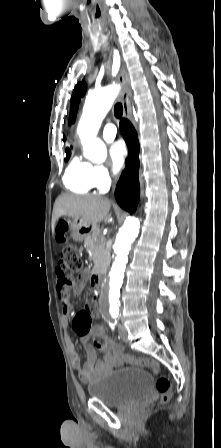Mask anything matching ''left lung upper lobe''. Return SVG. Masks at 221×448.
<instances>
[{"label": "left lung upper lobe", "instance_id": "obj_1", "mask_svg": "<svg viewBox=\"0 0 221 448\" xmlns=\"http://www.w3.org/2000/svg\"><path fill=\"white\" fill-rule=\"evenodd\" d=\"M86 84L83 80L81 83H78L73 91V95L71 97V107H70V121L73 123L76 119V114L78 110V105L81 97L85 94Z\"/></svg>", "mask_w": 221, "mask_h": 448}]
</instances>
